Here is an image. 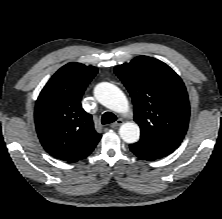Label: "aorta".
I'll list each match as a JSON object with an SVG mask.
<instances>
[{
  "mask_svg": "<svg viewBox=\"0 0 222 219\" xmlns=\"http://www.w3.org/2000/svg\"><path fill=\"white\" fill-rule=\"evenodd\" d=\"M96 99L105 107L118 113H126L129 103L125 94L115 85L101 82L94 89ZM119 135L127 143H135L140 137V128L135 122L121 125Z\"/></svg>",
  "mask_w": 222,
  "mask_h": 219,
  "instance_id": "762f6f07",
  "label": "aorta"
}]
</instances>
